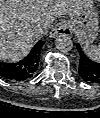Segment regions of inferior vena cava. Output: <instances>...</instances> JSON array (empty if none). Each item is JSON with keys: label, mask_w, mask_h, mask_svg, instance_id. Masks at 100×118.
<instances>
[{"label": "inferior vena cava", "mask_w": 100, "mask_h": 118, "mask_svg": "<svg viewBox=\"0 0 100 118\" xmlns=\"http://www.w3.org/2000/svg\"><path fill=\"white\" fill-rule=\"evenodd\" d=\"M51 26V21L45 20L43 22L37 23L35 26V31L38 34H44L47 32L48 28Z\"/></svg>", "instance_id": "obj_1"}]
</instances>
